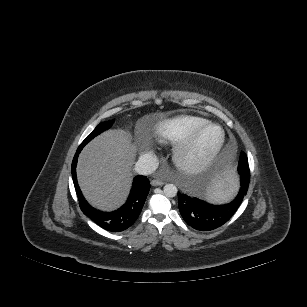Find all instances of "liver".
I'll list each match as a JSON object with an SVG mask.
<instances>
[{"mask_svg":"<svg viewBox=\"0 0 307 307\" xmlns=\"http://www.w3.org/2000/svg\"><path fill=\"white\" fill-rule=\"evenodd\" d=\"M136 152L130 132L121 129L106 131L84 147L78 159L77 178L92 206L112 211L125 202Z\"/></svg>","mask_w":307,"mask_h":307,"instance_id":"obj_1","label":"liver"}]
</instances>
